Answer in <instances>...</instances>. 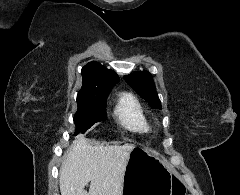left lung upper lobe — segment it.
Segmentation results:
<instances>
[{
    "mask_svg": "<svg viewBox=\"0 0 240 195\" xmlns=\"http://www.w3.org/2000/svg\"><path fill=\"white\" fill-rule=\"evenodd\" d=\"M125 81L154 109H162L152 75L147 71H137L124 76Z\"/></svg>",
    "mask_w": 240,
    "mask_h": 195,
    "instance_id": "1",
    "label": "left lung upper lobe"
}]
</instances>
